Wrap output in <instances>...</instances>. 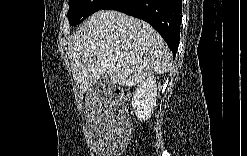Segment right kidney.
I'll return each instance as SVG.
<instances>
[{
  "instance_id": "ca27d5eb",
  "label": "right kidney",
  "mask_w": 247,
  "mask_h": 156,
  "mask_svg": "<svg viewBox=\"0 0 247 156\" xmlns=\"http://www.w3.org/2000/svg\"><path fill=\"white\" fill-rule=\"evenodd\" d=\"M157 84L154 76L143 79L132 97V107L140 121H147L156 106Z\"/></svg>"
}]
</instances>
